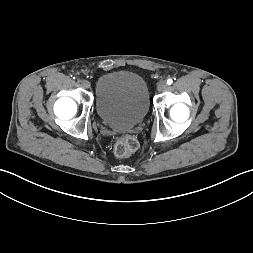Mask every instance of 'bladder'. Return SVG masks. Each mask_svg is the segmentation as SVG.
Segmentation results:
<instances>
[{"label": "bladder", "instance_id": "31cf9c89", "mask_svg": "<svg viewBox=\"0 0 253 253\" xmlns=\"http://www.w3.org/2000/svg\"><path fill=\"white\" fill-rule=\"evenodd\" d=\"M145 80L129 71L102 75L95 86V106L99 118L109 127L127 131L138 125L149 110Z\"/></svg>", "mask_w": 253, "mask_h": 253}]
</instances>
